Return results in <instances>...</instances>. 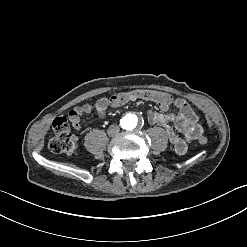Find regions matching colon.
<instances>
[{
    "mask_svg": "<svg viewBox=\"0 0 247 247\" xmlns=\"http://www.w3.org/2000/svg\"><path fill=\"white\" fill-rule=\"evenodd\" d=\"M137 96H144L146 101H158L159 109L168 107L169 95L167 92H161L160 88H135L133 92H114L113 100L110 102L112 109H119L126 101H135ZM71 124L64 118H57L52 124V131L48 139V147L51 152L57 154H72L77 148L76 139L70 132ZM205 136H199V141L205 145Z\"/></svg>",
    "mask_w": 247,
    "mask_h": 247,
    "instance_id": "5ec220e1",
    "label": "colon"
}]
</instances>
